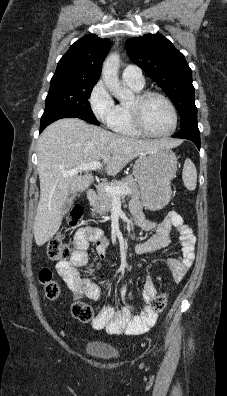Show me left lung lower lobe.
Instances as JSON below:
<instances>
[{
  "label": "left lung lower lobe",
  "mask_w": 227,
  "mask_h": 396,
  "mask_svg": "<svg viewBox=\"0 0 227 396\" xmlns=\"http://www.w3.org/2000/svg\"><path fill=\"white\" fill-rule=\"evenodd\" d=\"M173 137L191 140L200 150V132L197 125V117H191L181 124L179 132Z\"/></svg>",
  "instance_id": "left-lung-lower-lobe-1"
}]
</instances>
